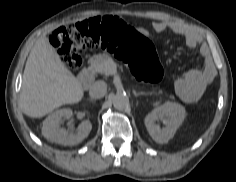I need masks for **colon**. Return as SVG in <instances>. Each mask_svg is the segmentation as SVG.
I'll list each match as a JSON object with an SVG mask.
<instances>
[{
    "label": "colon",
    "mask_w": 236,
    "mask_h": 182,
    "mask_svg": "<svg viewBox=\"0 0 236 182\" xmlns=\"http://www.w3.org/2000/svg\"><path fill=\"white\" fill-rule=\"evenodd\" d=\"M51 44L72 70L81 66L87 49L105 48L125 61L142 81L158 82L163 70L151 41L117 17L87 20L53 31Z\"/></svg>",
    "instance_id": "1"
}]
</instances>
